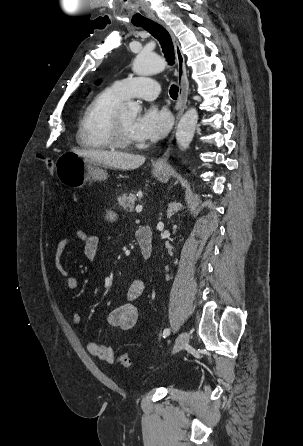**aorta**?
Masks as SVG:
<instances>
[{
    "label": "aorta",
    "mask_w": 303,
    "mask_h": 446,
    "mask_svg": "<svg viewBox=\"0 0 303 446\" xmlns=\"http://www.w3.org/2000/svg\"><path fill=\"white\" fill-rule=\"evenodd\" d=\"M165 63L162 58L147 52H140L132 66V70L137 75H153L164 70ZM141 107L136 102L129 103L124 108V113L129 116H136ZM198 122V112L195 108L187 110L181 117L176 131V141L181 149L189 147Z\"/></svg>",
    "instance_id": "obj_1"
}]
</instances>
